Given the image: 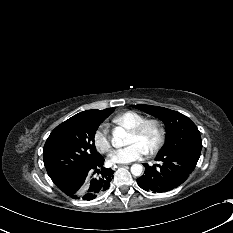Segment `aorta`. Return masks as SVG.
<instances>
[{
    "label": "aorta",
    "mask_w": 233,
    "mask_h": 233,
    "mask_svg": "<svg viewBox=\"0 0 233 233\" xmlns=\"http://www.w3.org/2000/svg\"><path fill=\"white\" fill-rule=\"evenodd\" d=\"M127 133L122 127H116L113 130V139H112V145L116 148H119L123 146L124 144V138L126 137ZM143 167L140 164H133L131 166V173L134 176H140L142 174Z\"/></svg>",
    "instance_id": "obj_1"
}]
</instances>
